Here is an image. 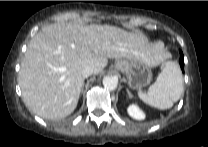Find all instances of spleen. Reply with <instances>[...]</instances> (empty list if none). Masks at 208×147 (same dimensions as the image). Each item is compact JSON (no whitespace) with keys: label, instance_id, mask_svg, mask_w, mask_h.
Instances as JSON below:
<instances>
[{"label":"spleen","instance_id":"1","mask_svg":"<svg viewBox=\"0 0 208 147\" xmlns=\"http://www.w3.org/2000/svg\"><path fill=\"white\" fill-rule=\"evenodd\" d=\"M183 93V77L176 62L167 61L148 92H138L139 98L157 109H169Z\"/></svg>","mask_w":208,"mask_h":147}]
</instances>
